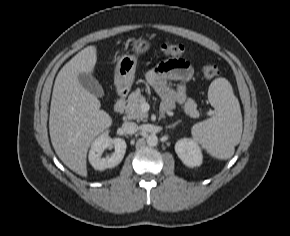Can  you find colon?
<instances>
[{"instance_id":"colon-1","label":"colon","mask_w":290,"mask_h":236,"mask_svg":"<svg viewBox=\"0 0 290 236\" xmlns=\"http://www.w3.org/2000/svg\"><path fill=\"white\" fill-rule=\"evenodd\" d=\"M162 52L167 57H177L184 52V46L179 43H166L162 46ZM219 73V68L214 64H206L203 66V74L207 78H214Z\"/></svg>"}]
</instances>
